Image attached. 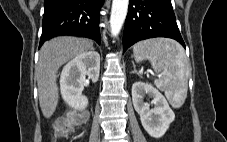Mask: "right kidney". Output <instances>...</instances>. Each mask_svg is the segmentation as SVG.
Returning <instances> with one entry per match:
<instances>
[{"label":"right kidney","instance_id":"right-kidney-1","mask_svg":"<svg viewBox=\"0 0 227 142\" xmlns=\"http://www.w3.org/2000/svg\"><path fill=\"white\" fill-rule=\"evenodd\" d=\"M100 72V55L98 52L89 51L76 56L68 62L61 73L60 90L64 101L75 110H84L88 99L82 95L86 84V76L97 82Z\"/></svg>","mask_w":227,"mask_h":142}]
</instances>
